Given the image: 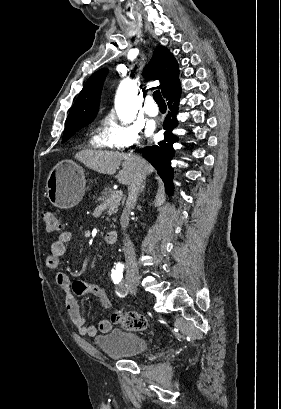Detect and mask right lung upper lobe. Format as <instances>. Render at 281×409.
Here are the masks:
<instances>
[{"label":"right lung upper lobe","instance_id":"obj_1","mask_svg":"<svg viewBox=\"0 0 281 409\" xmlns=\"http://www.w3.org/2000/svg\"><path fill=\"white\" fill-rule=\"evenodd\" d=\"M107 69L96 71L85 83L75 104L71 108L65 127L89 124L97 114L100 92ZM146 78L160 80L162 94L166 97L180 82L178 63L170 51L159 46L155 49L150 63L144 69Z\"/></svg>","mask_w":281,"mask_h":409}]
</instances>
